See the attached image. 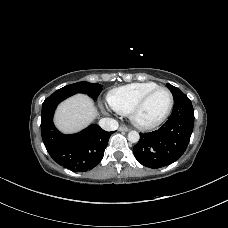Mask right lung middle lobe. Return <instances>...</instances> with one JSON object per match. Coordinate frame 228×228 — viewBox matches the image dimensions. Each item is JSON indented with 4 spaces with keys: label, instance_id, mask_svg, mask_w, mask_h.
<instances>
[{
    "label": "right lung middle lobe",
    "instance_id": "obj_1",
    "mask_svg": "<svg viewBox=\"0 0 228 228\" xmlns=\"http://www.w3.org/2000/svg\"><path fill=\"white\" fill-rule=\"evenodd\" d=\"M101 91H102V85L98 83H89L86 81H82L71 85H67L55 91L53 94L57 96L59 95L71 96L76 93H83V94H87L92 99H97Z\"/></svg>",
    "mask_w": 228,
    "mask_h": 228
}]
</instances>
